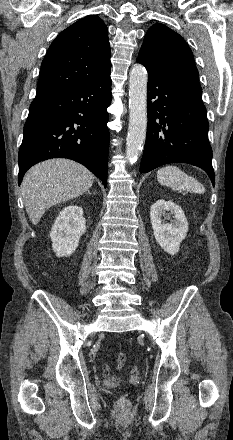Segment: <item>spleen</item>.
<instances>
[{
	"instance_id": "3e777b00",
	"label": "spleen",
	"mask_w": 233,
	"mask_h": 440,
	"mask_svg": "<svg viewBox=\"0 0 233 440\" xmlns=\"http://www.w3.org/2000/svg\"><path fill=\"white\" fill-rule=\"evenodd\" d=\"M157 179L161 185L173 190H187L193 193L203 194L204 186L194 177L189 176L177 166L167 165L157 171Z\"/></svg>"
}]
</instances>
